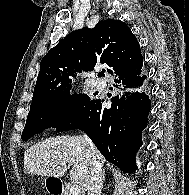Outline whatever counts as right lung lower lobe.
Returning <instances> with one entry per match:
<instances>
[{
	"mask_svg": "<svg viewBox=\"0 0 189 195\" xmlns=\"http://www.w3.org/2000/svg\"><path fill=\"white\" fill-rule=\"evenodd\" d=\"M141 69L115 75L120 93L111 99V107L103 99L90 100L56 130H83L109 162L125 172L136 171L135 154L151 108Z\"/></svg>",
	"mask_w": 189,
	"mask_h": 195,
	"instance_id": "right-lung-lower-lobe-1",
	"label": "right lung lower lobe"
}]
</instances>
